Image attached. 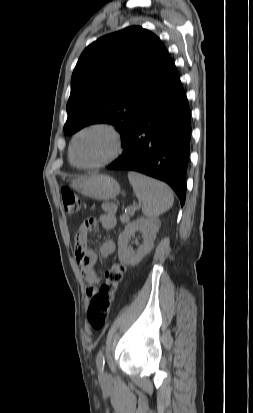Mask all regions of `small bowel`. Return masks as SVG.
Segmentation results:
<instances>
[{
    "label": "small bowel",
    "instance_id": "small-bowel-1",
    "mask_svg": "<svg viewBox=\"0 0 253 413\" xmlns=\"http://www.w3.org/2000/svg\"><path fill=\"white\" fill-rule=\"evenodd\" d=\"M103 213L98 216V221L106 230H111L116 225L117 206L115 203L106 202L102 205ZM95 218L84 220L78 229L75 237V256L78 265L81 268L82 276L87 282L86 294L89 298L96 292V285L99 277L94 270L97 260L96 253L88 244V233L96 226ZM115 250V243L111 239L102 242L99 248L100 256L103 258L110 257Z\"/></svg>",
    "mask_w": 253,
    "mask_h": 413
}]
</instances>
